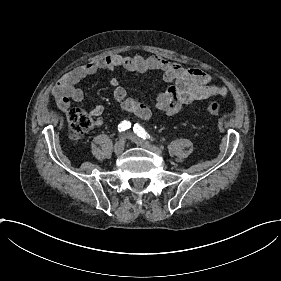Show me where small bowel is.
Listing matches in <instances>:
<instances>
[{
  "instance_id": "c3829d8e",
  "label": "small bowel",
  "mask_w": 281,
  "mask_h": 281,
  "mask_svg": "<svg viewBox=\"0 0 281 281\" xmlns=\"http://www.w3.org/2000/svg\"><path fill=\"white\" fill-rule=\"evenodd\" d=\"M117 69L128 70L137 75L148 71H158L168 86L164 92L155 97V104L167 117L175 115L182 104L203 101L214 96L229 97L226 87L211 85L210 76L199 68L184 66L159 57L114 55L96 58L81 65L64 77L60 83L53 86L51 93L58 108L61 111H67L71 101L81 102L84 99L83 91L77 87L80 80L92 76L100 70ZM109 84L113 89V99L124 111L134 114L142 120L150 118L147 106L128 96L126 91L119 86L117 78L111 77ZM103 113L104 106L101 104L96 105L92 110V115L97 119L94 125L98 128L104 125L101 120Z\"/></svg>"
}]
</instances>
